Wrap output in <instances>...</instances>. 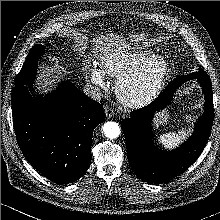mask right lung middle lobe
<instances>
[{"label": "right lung middle lobe", "instance_id": "right-lung-middle-lobe-1", "mask_svg": "<svg viewBox=\"0 0 220 220\" xmlns=\"http://www.w3.org/2000/svg\"><path fill=\"white\" fill-rule=\"evenodd\" d=\"M42 45L34 46L28 54L26 61L24 62L20 72L18 73L15 85H26L34 81L37 74V61L39 57L44 53Z\"/></svg>", "mask_w": 220, "mask_h": 220}]
</instances>
